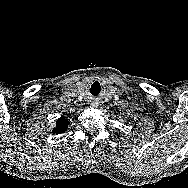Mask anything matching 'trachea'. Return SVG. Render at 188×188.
Instances as JSON below:
<instances>
[{"label":"trachea","instance_id":"3493384b","mask_svg":"<svg viewBox=\"0 0 188 188\" xmlns=\"http://www.w3.org/2000/svg\"><path fill=\"white\" fill-rule=\"evenodd\" d=\"M102 91H103V85L99 81L94 82L89 89L90 94L93 96L100 94Z\"/></svg>","mask_w":188,"mask_h":188}]
</instances>
